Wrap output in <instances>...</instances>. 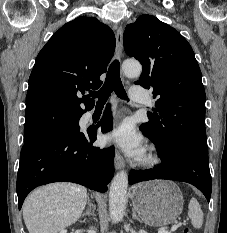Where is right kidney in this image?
Returning a JSON list of instances; mask_svg holds the SVG:
<instances>
[{"instance_id": "obj_1", "label": "right kidney", "mask_w": 227, "mask_h": 233, "mask_svg": "<svg viewBox=\"0 0 227 233\" xmlns=\"http://www.w3.org/2000/svg\"><path fill=\"white\" fill-rule=\"evenodd\" d=\"M60 233H67V230H62Z\"/></svg>"}]
</instances>
